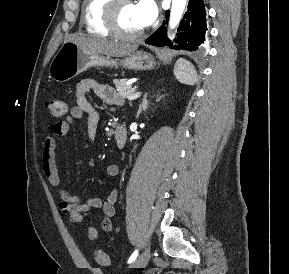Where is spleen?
I'll list each match as a JSON object with an SVG mask.
<instances>
[{
  "mask_svg": "<svg viewBox=\"0 0 289 274\" xmlns=\"http://www.w3.org/2000/svg\"><path fill=\"white\" fill-rule=\"evenodd\" d=\"M176 79L187 85H193L197 81V73L194 66L187 60L180 58L174 67Z\"/></svg>",
  "mask_w": 289,
  "mask_h": 274,
  "instance_id": "1",
  "label": "spleen"
}]
</instances>
